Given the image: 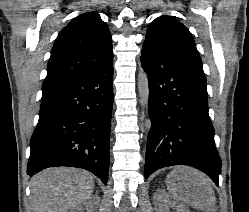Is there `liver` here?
<instances>
[{
  "label": "liver",
  "mask_w": 249,
  "mask_h": 212,
  "mask_svg": "<svg viewBox=\"0 0 249 212\" xmlns=\"http://www.w3.org/2000/svg\"><path fill=\"white\" fill-rule=\"evenodd\" d=\"M173 176L167 178L176 202L190 204L201 212H213L216 198L210 180L204 174L187 168L176 166ZM93 176L78 168H48L33 176L30 180L33 212H68L89 200L94 190Z\"/></svg>",
  "instance_id": "1"
}]
</instances>
